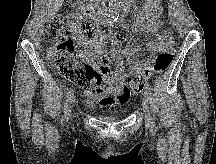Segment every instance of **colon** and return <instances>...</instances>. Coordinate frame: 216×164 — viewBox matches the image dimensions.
Segmentation results:
<instances>
[{
	"label": "colon",
	"instance_id": "obj_1",
	"mask_svg": "<svg viewBox=\"0 0 216 164\" xmlns=\"http://www.w3.org/2000/svg\"><path fill=\"white\" fill-rule=\"evenodd\" d=\"M48 27L53 46L49 48L47 57L58 73L85 91L98 89L106 69L75 52L72 33L78 27L77 21L70 15H57L50 20ZM173 58V41L168 37V47L157 55L154 64L142 68L131 78V90L134 93H141L147 80L166 71L171 66Z\"/></svg>",
	"mask_w": 216,
	"mask_h": 164
}]
</instances>
